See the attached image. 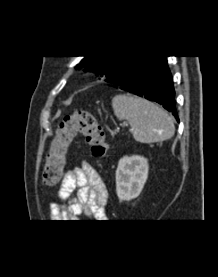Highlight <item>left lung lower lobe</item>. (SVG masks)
Here are the masks:
<instances>
[{
    "label": "left lung lower lobe",
    "instance_id": "obj_1",
    "mask_svg": "<svg viewBox=\"0 0 218 277\" xmlns=\"http://www.w3.org/2000/svg\"><path fill=\"white\" fill-rule=\"evenodd\" d=\"M105 81L163 105L179 121L173 78L165 56H136Z\"/></svg>",
    "mask_w": 218,
    "mask_h": 277
}]
</instances>
